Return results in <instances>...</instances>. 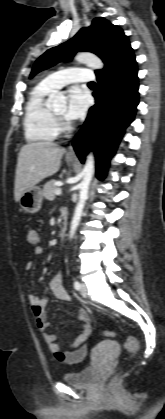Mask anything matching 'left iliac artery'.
<instances>
[{
  "instance_id": "left-iliac-artery-1",
  "label": "left iliac artery",
  "mask_w": 165,
  "mask_h": 419,
  "mask_svg": "<svg viewBox=\"0 0 165 419\" xmlns=\"http://www.w3.org/2000/svg\"><path fill=\"white\" fill-rule=\"evenodd\" d=\"M80 287H81L80 283H79L77 280H75V281H74V288H75L76 290H79V289H80Z\"/></svg>"
}]
</instances>
